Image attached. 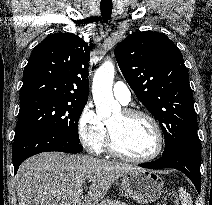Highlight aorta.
Here are the masks:
<instances>
[{
	"mask_svg": "<svg viewBox=\"0 0 212 205\" xmlns=\"http://www.w3.org/2000/svg\"><path fill=\"white\" fill-rule=\"evenodd\" d=\"M114 74V65L110 60H107L94 75L92 93L99 118L107 117L112 112L120 110V105L115 102L112 93Z\"/></svg>",
	"mask_w": 212,
	"mask_h": 205,
	"instance_id": "obj_1",
	"label": "aorta"
}]
</instances>
